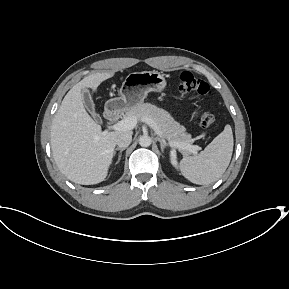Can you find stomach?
<instances>
[{
	"mask_svg": "<svg viewBox=\"0 0 289 289\" xmlns=\"http://www.w3.org/2000/svg\"><path fill=\"white\" fill-rule=\"evenodd\" d=\"M167 82L158 71L130 73L124 80L119 97L112 98L107 105L114 110H130L141 104L150 92H162Z\"/></svg>",
	"mask_w": 289,
	"mask_h": 289,
	"instance_id": "obj_1",
	"label": "stomach"
}]
</instances>
